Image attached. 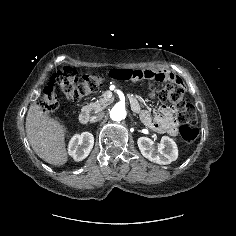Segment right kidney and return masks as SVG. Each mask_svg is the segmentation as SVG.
Here are the masks:
<instances>
[{"label":"right kidney","instance_id":"ca27d5eb","mask_svg":"<svg viewBox=\"0 0 236 236\" xmlns=\"http://www.w3.org/2000/svg\"><path fill=\"white\" fill-rule=\"evenodd\" d=\"M94 145L92 133L75 134L68 144V153L75 161H82L91 152Z\"/></svg>","mask_w":236,"mask_h":236}]
</instances>
